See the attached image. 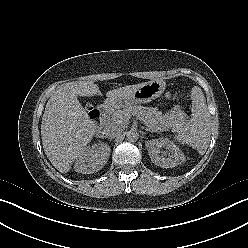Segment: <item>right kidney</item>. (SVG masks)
<instances>
[{
	"label": "right kidney",
	"mask_w": 248,
	"mask_h": 248,
	"mask_svg": "<svg viewBox=\"0 0 248 248\" xmlns=\"http://www.w3.org/2000/svg\"><path fill=\"white\" fill-rule=\"evenodd\" d=\"M110 151V146L101 142L85 147L75 159L74 170L82 174L99 171L107 163Z\"/></svg>",
	"instance_id": "1"
}]
</instances>
